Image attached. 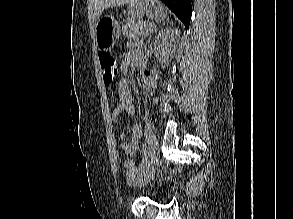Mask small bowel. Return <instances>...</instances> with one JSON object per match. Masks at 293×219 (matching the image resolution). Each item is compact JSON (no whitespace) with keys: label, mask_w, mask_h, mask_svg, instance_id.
<instances>
[{"label":"small bowel","mask_w":293,"mask_h":219,"mask_svg":"<svg viewBox=\"0 0 293 219\" xmlns=\"http://www.w3.org/2000/svg\"><path fill=\"white\" fill-rule=\"evenodd\" d=\"M132 61L139 62L140 61V43L139 42H131L129 45V52L127 56L124 58L121 64V72L123 74L127 73ZM150 78V73L147 70H143L139 74V83L144 86L148 83ZM117 94H118V102L116 104L115 110L113 111V119L117 121L118 116L121 112L127 111L131 114L134 113V107L132 105L131 93H130V85L127 79L122 78L117 85ZM122 139V149L126 155L132 156L135 155L139 148V141L142 138V127L139 123H136L132 127L131 131V139H128L124 132L119 133ZM134 177V174L132 175ZM131 175L129 178L132 179Z\"/></svg>","instance_id":"small-bowel-1"}]
</instances>
